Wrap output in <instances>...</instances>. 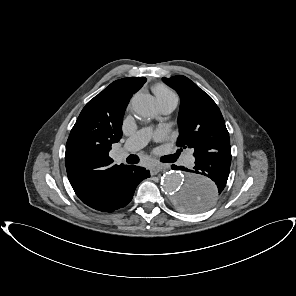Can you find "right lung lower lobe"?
Instances as JSON below:
<instances>
[{
    "instance_id": "98d812e1",
    "label": "right lung lower lobe",
    "mask_w": 296,
    "mask_h": 296,
    "mask_svg": "<svg viewBox=\"0 0 296 296\" xmlns=\"http://www.w3.org/2000/svg\"><path fill=\"white\" fill-rule=\"evenodd\" d=\"M148 177H150L148 170L134 165L129 166L122 178L119 192L100 211L112 212L126 206L131 201L136 186Z\"/></svg>"
}]
</instances>
